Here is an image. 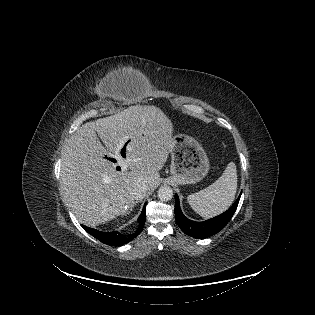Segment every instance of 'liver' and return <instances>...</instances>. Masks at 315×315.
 <instances>
[{"label": "liver", "mask_w": 315, "mask_h": 315, "mask_svg": "<svg viewBox=\"0 0 315 315\" xmlns=\"http://www.w3.org/2000/svg\"><path fill=\"white\" fill-rule=\"evenodd\" d=\"M172 135L171 120L153 105L130 106L79 127L61 158L63 197L78 221L89 226L106 223L130 210L138 200L134 195L138 184L146 182L149 190L158 186V171L174 148ZM126 142L127 157L122 159ZM107 156L127 169L116 171Z\"/></svg>", "instance_id": "1"}]
</instances>
